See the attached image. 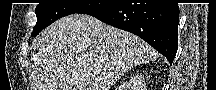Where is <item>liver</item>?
<instances>
[{
	"mask_svg": "<svg viewBox=\"0 0 216 90\" xmlns=\"http://www.w3.org/2000/svg\"><path fill=\"white\" fill-rule=\"evenodd\" d=\"M154 50L130 32L86 14L54 22L33 42V90H110Z\"/></svg>",
	"mask_w": 216,
	"mask_h": 90,
	"instance_id": "1",
	"label": "liver"
}]
</instances>
